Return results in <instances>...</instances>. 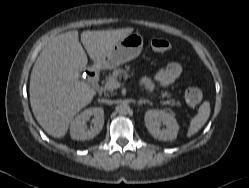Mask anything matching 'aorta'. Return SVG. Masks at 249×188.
<instances>
[{
    "mask_svg": "<svg viewBox=\"0 0 249 188\" xmlns=\"http://www.w3.org/2000/svg\"><path fill=\"white\" fill-rule=\"evenodd\" d=\"M130 111V107L129 105L122 103L118 106V112L122 115H126L128 114V112Z\"/></svg>",
    "mask_w": 249,
    "mask_h": 188,
    "instance_id": "obj_1",
    "label": "aorta"
}]
</instances>
